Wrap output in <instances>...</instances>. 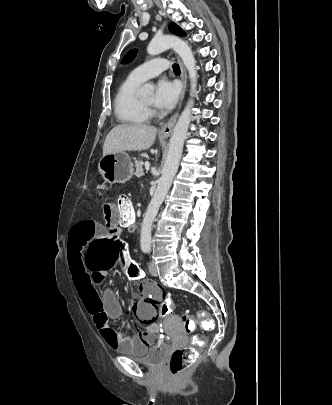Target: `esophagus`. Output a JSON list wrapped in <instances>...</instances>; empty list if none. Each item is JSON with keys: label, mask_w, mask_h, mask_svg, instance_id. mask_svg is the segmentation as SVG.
Instances as JSON below:
<instances>
[{"label": "esophagus", "mask_w": 332, "mask_h": 405, "mask_svg": "<svg viewBox=\"0 0 332 405\" xmlns=\"http://www.w3.org/2000/svg\"><path fill=\"white\" fill-rule=\"evenodd\" d=\"M178 61H179V64H180V67H181V73H182V75H181V80H182V84H183V89H182V94H181V100H182L183 96H184L185 89H186V84H187V73H186V70H185L182 62L179 59H178ZM177 117H178V112L175 113L169 119V121L167 123H165L161 127V129L159 131L160 135L166 136V137L170 135V133L172 131V128H173V126H174V124L176 122Z\"/></svg>", "instance_id": "1"}]
</instances>
